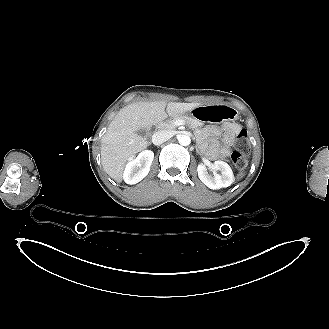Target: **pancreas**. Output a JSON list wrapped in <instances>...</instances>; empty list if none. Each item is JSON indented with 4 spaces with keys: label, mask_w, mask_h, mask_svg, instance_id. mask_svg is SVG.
<instances>
[{
    "label": "pancreas",
    "mask_w": 329,
    "mask_h": 329,
    "mask_svg": "<svg viewBox=\"0 0 329 329\" xmlns=\"http://www.w3.org/2000/svg\"><path fill=\"white\" fill-rule=\"evenodd\" d=\"M178 121H181L184 124L191 126L192 128H197L200 124L199 120L193 117L181 115V116L170 118L169 120L163 123V127L166 129H174L176 127V122Z\"/></svg>",
    "instance_id": "pancreas-1"
}]
</instances>
